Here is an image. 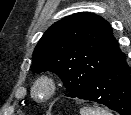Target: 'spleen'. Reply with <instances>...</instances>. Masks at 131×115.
Here are the masks:
<instances>
[{"mask_svg":"<svg viewBox=\"0 0 131 115\" xmlns=\"http://www.w3.org/2000/svg\"><path fill=\"white\" fill-rule=\"evenodd\" d=\"M81 115H112L110 112L103 109L81 108Z\"/></svg>","mask_w":131,"mask_h":115,"instance_id":"obj_1","label":"spleen"}]
</instances>
